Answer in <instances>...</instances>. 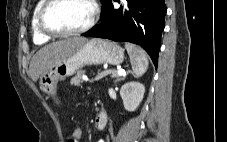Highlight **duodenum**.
<instances>
[{
    "label": "duodenum",
    "instance_id": "410a0bca",
    "mask_svg": "<svg viewBox=\"0 0 227 142\" xmlns=\"http://www.w3.org/2000/svg\"><path fill=\"white\" fill-rule=\"evenodd\" d=\"M107 124V113L101 110L95 118V127L98 130H103Z\"/></svg>",
    "mask_w": 227,
    "mask_h": 142
}]
</instances>
